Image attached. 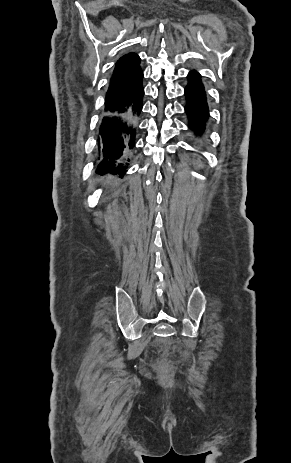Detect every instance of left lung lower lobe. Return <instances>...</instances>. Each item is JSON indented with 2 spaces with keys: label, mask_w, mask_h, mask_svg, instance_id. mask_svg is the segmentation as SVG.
<instances>
[{
  "label": "left lung lower lobe",
  "mask_w": 291,
  "mask_h": 463,
  "mask_svg": "<svg viewBox=\"0 0 291 463\" xmlns=\"http://www.w3.org/2000/svg\"><path fill=\"white\" fill-rule=\"evenodd\" d=\"M188 85L185 87V113L188 117V127L196 138H202L209 119V108L201 75L196 71L188 74Z\"/></svg>",
  "instance_id": "left-lung-lower-lobe-1"
}]
</instances>
